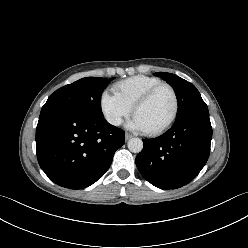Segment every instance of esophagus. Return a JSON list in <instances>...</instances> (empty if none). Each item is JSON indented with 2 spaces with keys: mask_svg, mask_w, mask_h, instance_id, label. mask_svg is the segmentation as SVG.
Masks as SVG:
<instances>
[{
  "mask_svg": "<svg viewBox=\"0 0 248 248\" xmlns=\"http://www.w3.org/2000/svg\"><path fill=\"white\" fill-rule=\"evenodd\" d=\"M130 138H132V135L130 133H126L125 134V139L129 140Z\"/></svg>",
  "mask_w": 248,
  "mask_h": 248,
  "instance_id": "34e87169",
  "label": "esophagus"
}]
</instances>
